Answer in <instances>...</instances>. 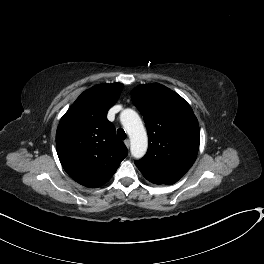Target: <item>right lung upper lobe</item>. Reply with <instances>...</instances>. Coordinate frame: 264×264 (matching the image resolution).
Segmentation results:
<instances>
[{
    "label": "right lung upper lobe",
    "instance_id": "1",
    "mask_svg": "<svg viewBox=\"0 0 264 264\" xmlns=\"http://www.w3.org/2000/svg\"><path fill=\"white\" fill-rule=\"evenodd\" d=\"M122 89L120 83L95 85L77 98L59 122V160L67 174L83 186H102L127 156L126 146L107 120Z\"/></svg>",
    "mask_w": 264,
    "mask_h": 264
}]
</instances>
